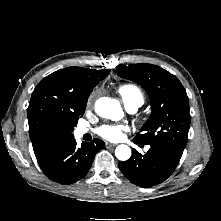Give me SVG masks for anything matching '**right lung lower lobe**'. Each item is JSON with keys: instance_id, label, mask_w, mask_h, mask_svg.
Returning <instances> with one entry per match:
<instances>
[{"instance_id": "1", "label": "right lung lower lobe", "mask_w": 221, "mask_h": 221, "mask_svg": "<svg viewBox=\"0 0 221 221\" xmlns=\"http://www.w3.org/2000/svg\"><path fill=\"white\" fill-rule=\"evenodd\" d=\"M74 136H71L55 146V148L37 159L44 174L60 184H71L83 178L89 171L98 151L105 148L100 139L84 142L80 148Z\"/></svg>"}]
</instances>
